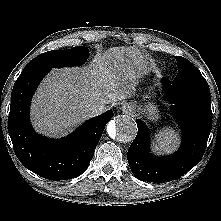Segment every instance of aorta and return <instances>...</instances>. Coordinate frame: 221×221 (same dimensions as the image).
Segmentation results:
<instances>
[{
	"instance_id": "1",
	"label": "aorta",
	"mask_w": 221,
	"mask_h": 221,
	"mask_svg": "<svg viewBox=\"0 0 221 221\" xmlns=\"http://www.w3.org/2000/svg\"><path fill=\"white\" fill-rule=\"evenodd\" d=\"M107 133L117 142H131L137 134V125L133 118L118 115L107 124Z\"/></svg>"
}]
</instances>
